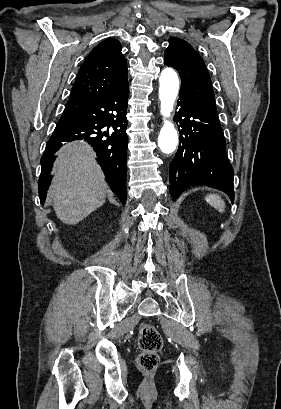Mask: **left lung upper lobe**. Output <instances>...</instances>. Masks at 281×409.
Returning <instances> with one entry per match:
<instances>
[{
  "mask_svg": "<svg viewBox=\"0 0 281 409\" xmlns=\"http://www.w3.org/2000/svg\"><path fill=\"white\" fill-rule=\"evenodd\" d=\"M164 62L179 72L180 92L190 94L199 102L216 109L214 91L205 63L188 42L171 38Z\"/></svg>",
  "mask_w": 281,
  "mask_h": 409,
  "instance_id": "obj_1",
  "label": "left lung upper lobe"
}]
</instances>
